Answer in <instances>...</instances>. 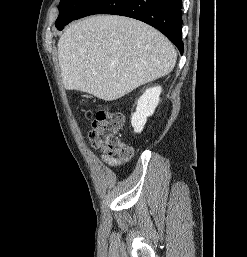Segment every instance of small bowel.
Here are the masks:
<instances>
[{
  "instance_id": "1",
  "label": "small bowel",
  "mask_w": 247,
  "mask_h": 257,
  "mask_svg": "<svg viewBox=\"0 0 247 257\" xmlns=\"http://www.w3.org/2000/svg\"><path fill=\"white\" fill-rule=\"evenodd\" d=\"M100 158L103 162H105L106 164H108L110 166H119L124 161L128 160V159H123V158H119V157H111V156L106 155L105 153L100 154Z\"/></svg>"
}]
</instances>
